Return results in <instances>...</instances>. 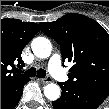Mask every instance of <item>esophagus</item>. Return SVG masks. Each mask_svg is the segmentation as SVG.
I'll return each instance as SVG.
<instances>
[{"instance_id":"esophagus-1","label":"esophagus","mask_w":109,"mask_h":109,"mask_svg":"<svg viewBox=\"0 0 109 109\" xmlns=\"http://www.w3.org/2000/svg\"><path fill=\"white\" fill-rule=\"evenodd\" d=\"M41 82H42L43 84L50 83V82H52V78H51L50 76H48V77H46V78H44V79H41Z\"/></svg>"}]
</instances>
